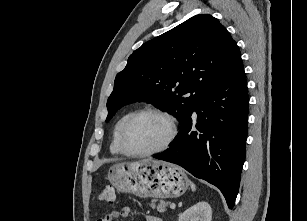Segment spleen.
<instances>
[{
  "instance_id": "spleen-1",
  "label": "spleen",
  "mask_w": 307,
  "mask_h": 221,
  "mask_svg": "<svg viewBox=\"0 0 307 221\" xmlns=\"http://www.w3.org/2000/svg\"><path fill=\"white\" fill-rule=\"evenodd\" d=\"M191 189H192V191H195V190H196V186H195V184L192 183V182H191Z\"/></svg>"
}]
</instances>
